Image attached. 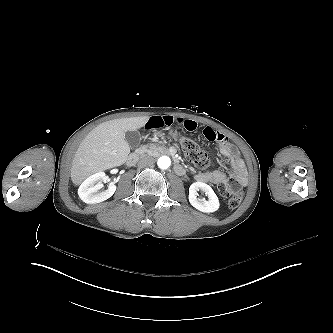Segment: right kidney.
Instances as JSON below:
<instances>
[{"label":"right kidney","instance_id":"right-kidney-1","mask_svg":"<svg viewBox=\"0 0 333 333\" xmlns=\"http://www.w3.org/2000/svg\"><path fill=\"white\" fill-rule=\"evenodd\" d=\"M106 180L104 172H98L87 178L79 187L78 194L80 199L87 204H96L109 199L117 190L115 183H110L106 190L98 193Z\"/></svg>","mask_w":333,"mask_h":333}]
</instances>
